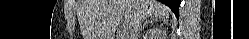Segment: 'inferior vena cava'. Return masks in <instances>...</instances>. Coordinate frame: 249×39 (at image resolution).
<instances>
[{
  "instance_id": "inferior-vena-cava-1",
  "label": "inferior vena cava",
  "mask_w": 249,
  "mask_h": 39,
  "mask_svg": "<svg viewBox=\"0 0 249 39\" xmlns=\"http://www.w3.org/2000/svg\"><path fill=\"white\" fill-rule=\"evenodd\" d=\"M143 22V18L142 17H137L134 24H133V29L130 30V39H136V35H137V32L141 26V23Z\"/></svg>"
}]
</instances>
